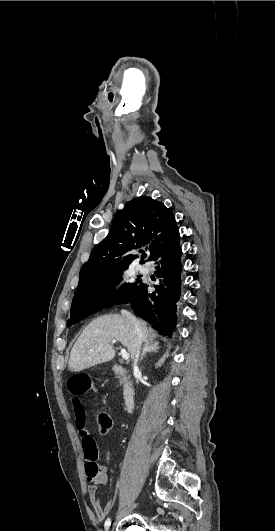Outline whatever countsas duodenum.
<instances>
[{"mask_svg": "<svg viewBox=\"0 0 275 531\" xmlns=\"http://www.w3.org/2000/svg\"><path fill=\"white\" fill-rule=\"evenodd\" d=\"M113 371L119 376L125 379L123 398L124 408L127 412H131L135 404V388L133 383L128 379V369L122 365H115Z\"/></svg>", "mask_w": 275, "mask_h": 531, "instance_id": "410a0bca", "label": "duodenum"}]
</instances>
